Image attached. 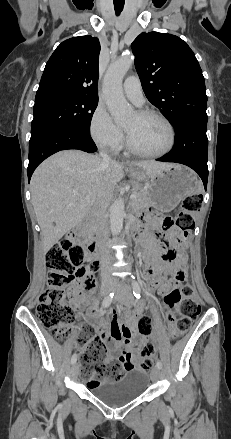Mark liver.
<instances>
[{"instance_id":"6515ba94","label":"liver","mask_w":231,"mask_h":439,"mask_svg":"<svg viewBox=\"0 0 231 439\" xmlns=\"http://www.w3.org/2000/svg\"><path fill=\"white\" fill-rule=\"evenodd\" d=\"M148 178L174 166L154 161H137ZM124 165L80 150L60 151L41 163L31 178V200L41 228L43 252L72 228L80 224L93 209L99 195L108 204L114 188L124 177Z\"/></svg>"}]
</instances>
